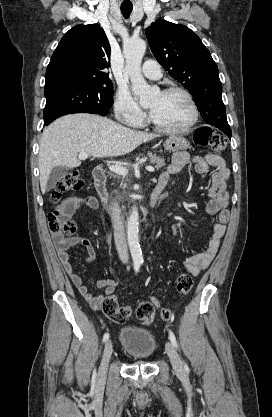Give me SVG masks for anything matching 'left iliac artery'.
Returning a JSON list of instances; mask_svg holds the SVG:
<instances>
[{
  "instance_id": "1",
  "label": "left iliac artery",
  "mask_w": 272,
  "mask_h": 417,
  "mask_svg": "<svg viewBox=\"0 0 272 417\" xmlns=\"http://www.w3.org/2000/svg\"><path fill=\"white\" fill-rule=\"evenodd\" d=\"M169 339H170L171 343L173 344V346H174L175 348H178V345H177V341H176L175 335H174V333H173L171 330H169ZM184 368H185V370H188V366H187V364H186V363H184Z\"/></svg>"
}]
</instances>
